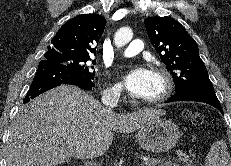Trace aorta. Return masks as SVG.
<instances>
[{"label":"aorta","mask_w":231,"mask_h":166,"mask_svg":"<svg viewBox=\"0 0 231 166\" xmlns=\"http://www.w3.org/2000/svg\"><path fill=\"white\" fill-rule=\"evenodd\" d=\"M133 37V32L129 27L120 28L114 36V43L116 47L121 48L125 46Z\"/></svg>","instance_id":"aorta-1"}]
</instances>
